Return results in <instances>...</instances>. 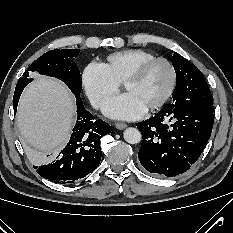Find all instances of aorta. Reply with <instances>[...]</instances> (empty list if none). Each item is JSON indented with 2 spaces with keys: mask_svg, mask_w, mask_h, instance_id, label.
Listing matches in <instances>:
<instances>
[{
  "mask_svg": "<svg viewBox=\"0 0 233 233\" xmlns=\"http://www.w3.org/2000/svg\"><path fill=\"white\" fill-rule=\"evenodd\" d=\"M124 139L130 144H137L141 141V133L137 128L129 127L123 133Z\"/></svg>",
  "mask_w": 233,
  "mask_h": 233,
  "instance_id": "762f6f07",
  "label": "aorta"
}]
</instances>
